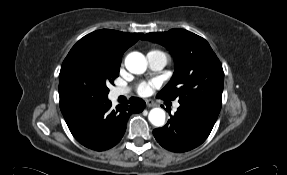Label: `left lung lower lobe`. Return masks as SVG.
Segmentation results:
<instances>
[{"label":"left lung lower lobe","instance_id":"0a47b994","mask_svg":"<svg viewBox=\"0 0 287 175\" xmlns=\"http://www.w3.org/2000/svg\"><path fill=\"white\" fill-rule=\"evenodd\" d=\"M214 124L193 109L180 106L165 126L154 129L153 135L165 149L181 153L201 145Z\"/></svg>","mask_w":287,"mask_h":175}]
</instances>
